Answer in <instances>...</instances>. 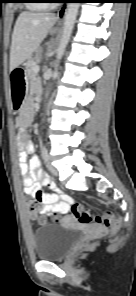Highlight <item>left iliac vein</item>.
Here are the masks:
<instances>
[{"mask_svg":"<svg viewBox=\"0 0 136 296\" xmlns=\"http://www.w3.org/2000/svg\"><path fill=\"white\" fill-rule=\"evenodd\" d=\"M49 166V170L50 172L54 175V176H58V170L51 164H48Z\"/></svg>","mask_w":136,"mask_h":296,"instance_id":"left-iliac-vein-1","label":"left iliac vein"}]
</instances>
